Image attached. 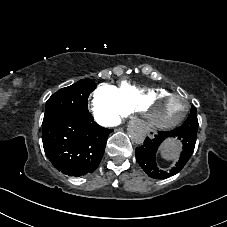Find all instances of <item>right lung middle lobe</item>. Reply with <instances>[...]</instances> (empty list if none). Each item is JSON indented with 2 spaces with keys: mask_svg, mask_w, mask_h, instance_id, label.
Returning <instances> with one entry per match:
<instances>
[{
  "mask_svg": "<svg viewBox=\"0 0 227 227\" xmlns=\"http://www.w3.org/2000/svg\"><path fill=\"white\" fill-rule=\"evenodd\" d=\"M96 86L92 80L82 79L54 93L46 102L43 123L68 114L89 112L88 97Z\"/></svg>",
  "mask_w": 227,
  "mask_h": 227,
  "instance_id": "dd1d6c3e",
  "label": "right lung middle lobe"
}]
</instances>
